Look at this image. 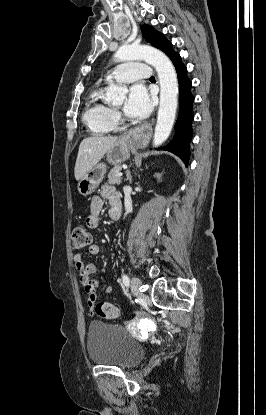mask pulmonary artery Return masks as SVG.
I'll return each mask as SVG.
<instances>
[{
    "label": "pulmonary artery",
    "mask_w": 266,
    "mask_h": 415,
    "mask_svg": "<svg viewBox=\"0 0 266 415\" xmlns=\"http://www.w3.org/2000/svg\"><path fill=\"white\" fill-rule=\"evenodd\" d=\"M111 77L117 82H132L137 79H149L151 77V69L145 63L127 62L118 66Z\"/></svg>",
    "instance_id": "1"
}]
</instances>
